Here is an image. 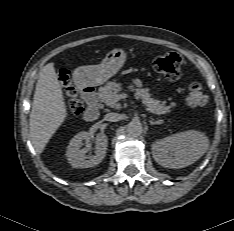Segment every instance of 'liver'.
<instances>
[{
	"label": "liver",
	"instance_id": "6515ba94",
	"mask_svg": "<svg viewBox=\"0 0 234 231\" xmlns=\"http://www.w3.org/2000/svg\"><path fill=\"white\" fill-rule=\"evenodd\" d=\"M67 106L54 63L41 68L29 119L31 141L40 154L66 120Z\"/></svg>",
	"mask_w": 234,
	"mask_h": 231
}]
</instances>
